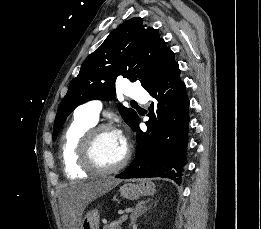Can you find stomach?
Listing matches in <instances>:
<instances>
[{
	"label": "stomach",
	"mask_w": 261,
	"mask_h": 229,
	"mask_svg": "<svg viewBox=\"0 0 261 229\" xmlns=\"http://www.w3.org/2000/svg\"><path fill=\"white\" fill-rule=\"evenodd\" d=\"M121 197L129 199V201H136L139 197H147V195H154L155 185L151 181H139L138 185L127 183L119 189ZM100 215L98 211H89L86 213L80 229H99Z\"/></svg>",
	"instance_id": "obj_1"
}]
</instances>
